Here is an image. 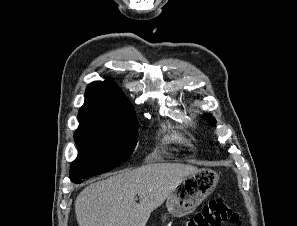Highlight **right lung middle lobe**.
<instances>
[{
    "instance_id": "dd1d6c3e",
    "label": "right lung middle lobe",
    "mask_w": 297,
    "mask_h": 226,
    "mask_svg": "<svg viewBox=\"0 0 297 226\" xmlns=\"http://www.w3.org/2000/svg\"><path fill=\"white\" fill-rule=\"evenodd\" d=\"M138 122L134 109L124 111L115 126L79 125L74 134L78 156L69 176L74 183L122 164L137 144Z\"/></svg>"
}]
</instances>
